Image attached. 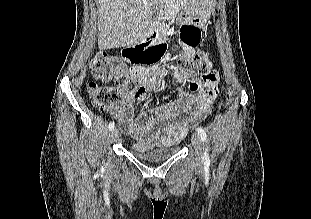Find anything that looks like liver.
Listing matches in <instances>:
<instances>
[{"label": "liver", "instance_id": "liver-1", "mask_svg": "<svg viewBox=\"0 0 311 219\" xmlns=\"http://www.w3.org/2000/svg\"><path fill=\"white\" fill-rule=\"evenodd\" d=\"M160 0H97L98 47L101 50L132 46L147 36L153 13ZM188 1L191 14L203 16L210 0Z\"/></svg>", "mask_w": 311, "mask_h": 219}]
</instances>
